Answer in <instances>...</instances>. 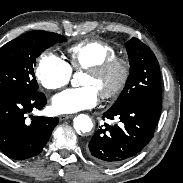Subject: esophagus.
Masks as SVG:
<instances>
[{
	"instance_id": "obj_1",
	"label": "esophagus",
	"mask_w": 183,
	"mask_h": 183,
	"mask_svg": "<svg viewBox=\"0 0 183 183\" xmlns=\"http://www.w3.org/2000/svg\"><path fill=\"white\" fill-rule=\"evenodd\" d=\"M72 117H73V115L63 114V115L59 116V119H60V121H63V120H66V119H70Z\"/></svg>"
}]
</instances>
